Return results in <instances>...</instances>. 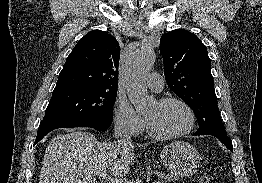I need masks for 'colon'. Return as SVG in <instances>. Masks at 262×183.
<instances>
[{"label": "colon", "mask_w": 262, "mask_h": 183, "mask_svg": "<svg viewBox=\"0 0 262 183\" xmlns=\"http://www.w3.org/2000/svg\"><path fill=\"white\" fill-rule=\"evenodd\" d=\"M200 183H211V178L208 174H203L200 179H199Z\"/></svg>", "instance_id": "5ec220e1"}]
</instances>
